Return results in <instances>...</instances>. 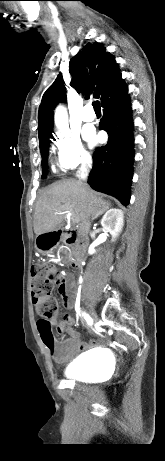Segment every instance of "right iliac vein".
<instances>
[{"label":"right iliac vein","instance_id":"63e3f726","mask_svg":"<svg viewBox=\"0 0 165 461\" xmlns=\"http://www.w3.org/2000/svg\"><path fill=\"white\" fill-rule=\"evenodd\" d=\"M89 314L91 316V319L94 323H96L98 321V318H97V314L95 313V311L93 309H89Z\"/></svg>","mask_w":165,"mask_h":461}]
</instances>
